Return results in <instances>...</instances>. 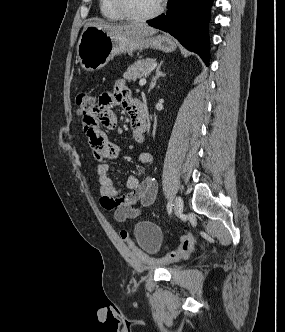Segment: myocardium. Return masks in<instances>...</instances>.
Segmentation results:
<instances>
[{
  "label": "myocardium",
  "instance_id": "obj_1",
  "mask_svg": "<svg viewBox=\"0 0 285 332\" xmlns=\"http://www.w3.org/2000/svg\"><path fill=\"white\" fill-rule=\"evenodd\" d=\"M116 10L125 18L135 22H145L156 18L162 12V4L159 3L158 7L151 13L146 15H137L133 13L128 7L126 0H113Z\"/></svg>",
  "mask_w": 285,
  "mask_h": 332
}]
</instances>
